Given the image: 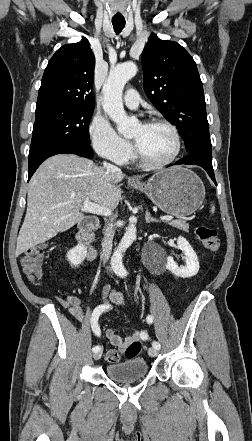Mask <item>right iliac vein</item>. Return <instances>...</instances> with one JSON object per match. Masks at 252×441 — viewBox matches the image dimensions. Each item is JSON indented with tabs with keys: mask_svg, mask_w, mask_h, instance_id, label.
Wrapping results in <instances>:
<instances>
[{
	"mask_svg": "<svg viewBox=\"0 0 252 441\" xmlns=\"http://www.w3.org/2000/svg\"><path fill=\"white\" fill-rule=\"evenodd\" d=\"M101 356H102V351L100 350V351L94 353L93 358L95 360H98L101 358Z\"/></svg>",
	"mask_w": 252,
	"mask_h": 441,
	"instance_id": "obj_1",
	"label": "right iliac vein"
}]
</instances>
